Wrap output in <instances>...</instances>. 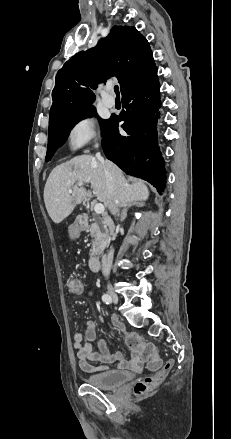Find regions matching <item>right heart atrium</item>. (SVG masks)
<instances>
[{"label": "right heart atrium", "instance_id": "d8ad5b80", "mask_svg": "<svg viewBox=\"0 0 231 439\" xmlns=\"http://www.w3.org/2000/svg\"><path fill=\"white\" fill-rule=\"evenodd\" d=\"M97 132L91 117L84 116L75 120L67 133V144L73 151L95 142Z\"/></svg>", "mask_w": 231, "mask_h": 439}]
</instances>
